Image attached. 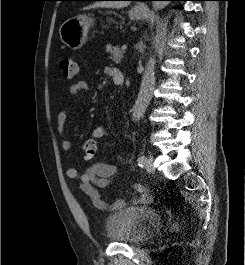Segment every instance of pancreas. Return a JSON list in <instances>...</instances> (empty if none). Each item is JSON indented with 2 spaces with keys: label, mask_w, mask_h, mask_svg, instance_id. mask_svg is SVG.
<instances>
[{
  "label": "pancreas",
  "mask_w": 245,
  "mask_h": 265,
  "mask_svg": "<svg viewBox=\"0 0 245 265\" xmlns=\"http://www.w3.org/2000/svg\"><path fill=\"white\" fill-rule=\"evenodd\" d=\"M107 52L111 55L109 58L117 64L120 63L124 57V52L118 47H108Z\"/></svg>",
  "instance_id": "cf45deb5"
}]
</instances>
